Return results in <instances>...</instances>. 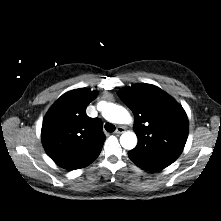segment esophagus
I'll use <instances>...</instances> for the list:
<instances>
[{
	"mask_svg": "<svg viewBox=\"0 0 221 221\" xmlns=\"http://www.w3.org/2000/svg\"><path fill=\"white\" fill-rule=\"evenodd\" d=\"M123 132H125V127L118 126L116 131H115V134L119 135V134H122Z\"/></svg>",
	"mask_w": 221,
	"mask_h": 221,
	"instance_id": "1",
	"label": "esophagus"
}]
</instances>
